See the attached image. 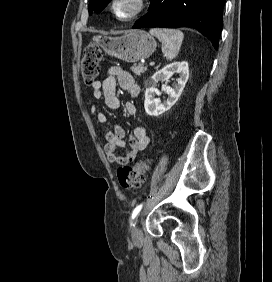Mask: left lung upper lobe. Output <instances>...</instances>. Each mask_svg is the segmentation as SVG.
<instances>
[{
  "label": "left lung upper lobe",
  "instance_id": "5c2ea615",
  "mask_svg": "<svg viewBox=\"0 0 272 282\" xmlns=\"http://www.w3.org/2000/svg\"><path fill=\"white\" fill-rule=\"evenodd\" d=\"M110 0H91L89 4V14L101 12Z\"/></svg>",
  "mask_w": 272,
  "mask_h": 282
}]
</instances>
